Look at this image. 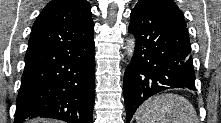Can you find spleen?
Segmentation results:
<instances>
[{"label":"spleen","mask_w":221,"mask_h":123,"mask_svg":"<svg viewBox=\"0 0 221 123\" xmlns=\"http://www.w3.org/2000/svg\"><path fill=\"white\" fill-rule=\"evenodd\" d=\"M136 123H198V118L186 98L162 94L148 99L138 108Z\"/></svg>","instance_id":"3e777b00"}]
</instances>
